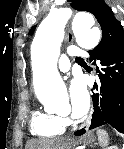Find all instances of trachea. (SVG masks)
Returning <instances> with one entry per match:
<instances>
[{
    "label": "trachea",
    "instance_id": "trachea-1",
    "mask_svg": "<svg viewBox=\"0 0 124 149\" xmlns=\"http://www.w3.org/2000/svg\"><path fill=\"white\" fill-rule=\"evenodd\" d=\"M75 60H82V58H78V57H76V59Z\"/></svg>",
    "mask_w": 124,
    "mask_h": 149
}]
</instances>
